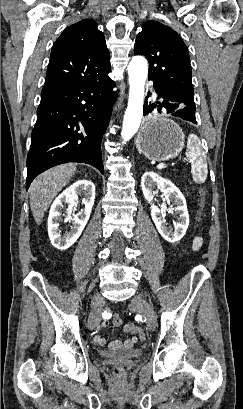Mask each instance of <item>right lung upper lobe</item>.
<instances>
[{
	"label": "right lung upper lobe",
	"instance_id": "obj_1",
	"mask_svg": "<svg viewBox=\"0 0 243 409\" xmlns=\"http://www.w3.org/2000/svg\"><path fill=\"white\" fill-rule=\"evenodd\" d=\"M103 33L92 19L67 27L54 43L44 87L95 80L110 71Z\"/></svg>",
	"mask_w": 243,
	"mask_h": 409
}]
</instances>
